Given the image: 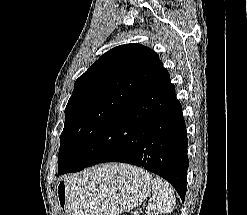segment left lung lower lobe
<instances>
[{"label": "left lung lower lobe", "instance_id": "left-lung-lower-lobe-1", "mask_svg": "<svg viewBox=\"0 0 247 215\" xmlns=\"http://www.w3.org/2000/svg\"><path fill=\"white\" fill-rule=\"evenodd\" d=\"M93 145H85L78 161L60 174L78 172L98 163H129L162 176L184 202L188 139L182 106L163 66L158 67L112 128Z\"/></svg>", "mask_w": 247, "mask_h": 215}]
</instances>
